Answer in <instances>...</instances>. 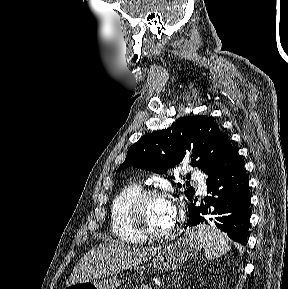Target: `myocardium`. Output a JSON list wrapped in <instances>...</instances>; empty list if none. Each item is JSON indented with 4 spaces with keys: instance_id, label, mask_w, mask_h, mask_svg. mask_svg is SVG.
I'll use <instances>...</instances> for the list:
<instances>
[{
    "instance_id": "1",
    "label": "myocardium",
    "mask_w": 288,
    "mask_h": 289,
    "mask_svg": "<svg viewBox=\"0 0 288 289\" xmlns=\"http://www.w3.org/2000/svg\"><path fill=\"white\" fill-rule=\"evenodd\" d=\"M152 199L170 201V197L160 191L152 189L141 190L130 202L127 209V217L130 227L144 239H161L170 236L176 229L175 224L164 231H153L147 227L144 220L145 204Z\"/></svg>"
}]
</instances>
